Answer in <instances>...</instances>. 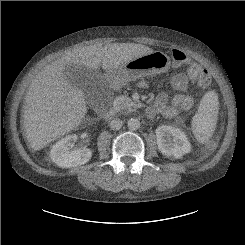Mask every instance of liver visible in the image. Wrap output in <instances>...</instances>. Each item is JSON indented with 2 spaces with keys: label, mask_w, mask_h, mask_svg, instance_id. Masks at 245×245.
Instances as JSON below:
<instances>
[{
  "label": "liver",
  "mask_w": 245,
  "mask_h": 245,
  "mask_svg": "<svg viewBox=\"0 0 245 245\" xmlns=\"http://www.w3.org/2000/svg\"><path fill=\"white\" fill-rule=\"evenodd\" d=\"M153 50L135 43H112L104 47L94 44L74 49L45 66L32 80L24 105L25 136L34 150L77 128L87 113L81 90L71 85L66 77L70 65L97 70L101 65L109 70Z\"/></svg>",
  "instance_id": "obj_1"
}]
</instances>
